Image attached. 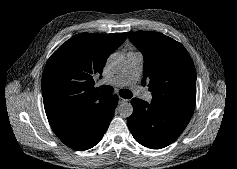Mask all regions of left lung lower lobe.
<instances>
[{
  "label": "left lung lower lobe",
  "mask_w": 237,
  "mask_h": 169,
  "mask_svg": "<svg viewBox=\"0 0 237 169\" xmlns=\"http://www.w3.org/2000/svg\"><path fill=\"white\" fill-rule=\"evenodd\" d=\"M133 113L127 119L129 129L140 144L160 149L171 144L188 125L192 114L160 105L155 101L133 98Z\"/></svg>",
  "instance_id": "0a47b994"
}]
</instances>
